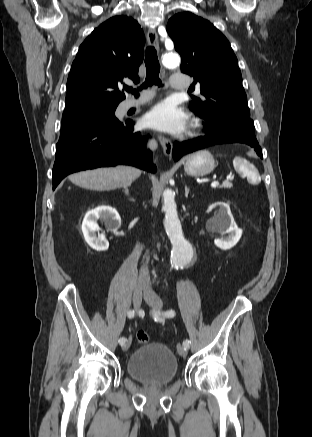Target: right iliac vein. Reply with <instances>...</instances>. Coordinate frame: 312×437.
I'll return each instance as SVG.
<instances>
[{
	"label": "right iliac vein",
	"instance_id": "obj_1",
	"mask_svg": "<svg viewBox=\"0 0 312 437\" xmlns=\"http://www.w3.org/2000/svg\"><path fill=\"white\" fill-rule=\"evenodd\" d=\"M142 297H143V286L141 282H137L135 285L134 291H133V305L136 310H139L142 303ZM131 340L128 339L123 345L122 349L124 351L128 350L130 347Z\"/></svg>",
	"mask_w": 312,
	"mask_h": 437
}]
</instances>
